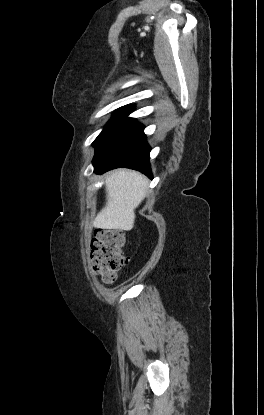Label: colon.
Returning <instances> with one entry per match:
<instances>
[{
    "instance_id": "colon-1",
    "label": "colon",
    "mask_w": 264,
    "mask_h": 415,
    "mask_svg": "<svg viewBox=\"0 0 264 415\" xmlns=\"http://www.w3.org/2000/svg\"><path fill=\"white\" fill-rule=\"evenodd\" d=\"M125 234L112 229H97L91 246L92 269L104 283L116 281L119 271L124 267L126 258L123 255Z\"/></svg>"
}]
</instances>
